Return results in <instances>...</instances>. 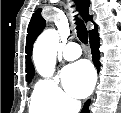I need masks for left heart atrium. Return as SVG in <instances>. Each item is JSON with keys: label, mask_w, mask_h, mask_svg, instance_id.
Instances as JSON below:
<instances>
[{"label": "left heart atrium", "mask_w": 121, "mask_h": 113, "mask_svg": "<svg viewBox=\"0 0 121 113\" xmlns=\"http://www.w3.org/2000/svg\"><path fill=\"white\" fill-rule=\"evenodd\" d=\"M62 81L69 94L84 98L93 89L95 77L92 67L86 61H80L63 69Z\"/></svg>", "instance_id": "1"}]
</instances>
